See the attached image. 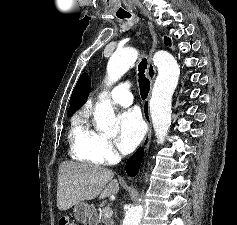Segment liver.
<instances>
[{
	"mask_svg": "<svg viewBox=\"0 0 237 225\" xmlns=\"http://www.w3.org/2000/svg\"><path fill=\"white\" fill-rule=\"evenodd\" d=\"M113 177L111 170L96 165L62 162L58 170V209L66 211L78 202L118 193L119 183Z\"/></svg>",
	"mask_w": 237,
	"mask_h": 225,
	"instance_id": "obj_1",
	"label": "liver"
}]
</instances>
